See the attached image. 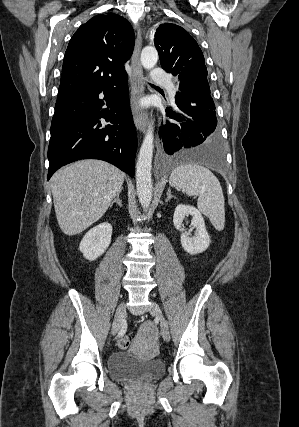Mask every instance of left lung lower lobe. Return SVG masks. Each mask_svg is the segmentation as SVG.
<instances>
[{"instance_id": "0a47b994", "label": "left lung lower lobe", "mask_w": 299, "mask_h": 427, "mask_svg": "<svg viewBox=\"0 0 299 427\" xmlns=\"http://www.w3.org/2000/svg\"><path fill=\"white\" fill-rule=\"evenodd\" d=\"M166 117L159 129L166 159L213 167L223 164L215 106L178 91Z\"/></svg>"}]
</instances>
